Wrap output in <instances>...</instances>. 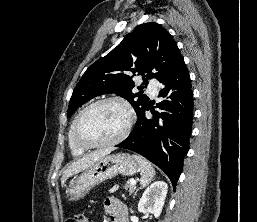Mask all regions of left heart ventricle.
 <instances>
[{
    "instance_id": "1",
    "label": "left heart ventricle",
    "mask_w": 257,
    "mask_h": 222,
    "mask_svg": "<svg viewBox=\"0 0 257 222\" xmlns=\"http://www.w3.org/2000/svg\"><path fill=\"white\" fill-rule=\"evenodd\" d=\"M126 124V112L117 103H106L90 110L82 119L79 136L90 143H101L117 137Z\"/></svg>"
}]
</instances>
